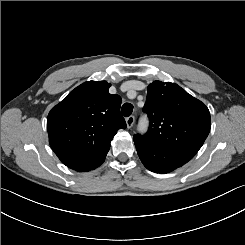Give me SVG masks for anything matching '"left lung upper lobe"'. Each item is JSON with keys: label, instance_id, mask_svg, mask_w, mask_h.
Listing matches in <instances>:
<instances>
[{"label": "left lung upper lobe", "instance_id": "5c2ea615", "mask_svg": "<svg viewBox=\"0 0 245 245\" xmlns=\"http://www.w3.org/2000/svg\"><path fill=\"white\" fill-rule=\"evenodd\" d=\"M143 111L150 126L146 134L134 135V142L170 151L186 161L199 151L210 131L208 108L174 83H151Z\"/></svg>", "mask_w": 245, "mask_h": 245}]
</instances>
